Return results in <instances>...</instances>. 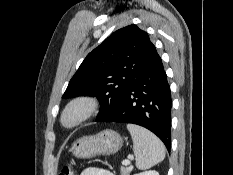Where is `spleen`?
I'll list each match as a JSON object with an SVG mask.
<instances>
[{
    "label": "spleen",
    "mask_w": 233,
    "mask_h": 175,
    "mask_svg": "<svg viewBox=\"0 0 233 175\" xmlns=\"http://www.w3.org/2000/svg\"><path fill=\"white\" fill-rule=\"evenodd\" d=\"M127 129L133 140V152L138 169H148L164 160L165 146L157 136L135 124H128Z\"/></svg>",
    "instance_id": "3e777b00"
}]
</instances>
